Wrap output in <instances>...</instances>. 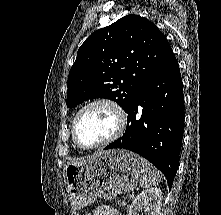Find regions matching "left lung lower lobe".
<instances>
[{"label": "left lung lower lobe", "mask_w": 221, "mask_h": 215, "mask_svg": "<svg viewBox=\"0 0 221 215\" xmlns=\"http://www.w3.org/2000/svg\"><path fill=\"white\" fill-rule=\"evenodd\" d=\"M183 101L180 69L171 49L130 103L125 134L105 149L138 153L164 173L171 188L182 144Z\"/></svg>", "instance_id": "0a47b994"}]
</instances>
